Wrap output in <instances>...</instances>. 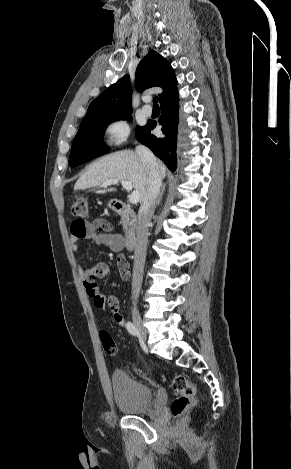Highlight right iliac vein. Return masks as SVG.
Here are the masks:
<instances>
[{
  "instance_id": "obj_1",
  "label": "right iliac vein",
  "mask_w": 291,
  "mask_h": 469,
  "mask_svg": "<svg viewBox=\"0 0 291 469\" xmlns=\"http://www.w3.org/2000/svg\"><path fill=\"white\" fill-rule=\"evenodd\" d=\"M132 320H133V323H134L135 327L137 328V331H138L140 337L142 338V340L146 341L147 332H146L145 328L142 325L141 317H140L139 312L136 308L132 309Z\"/></svg>"
}]
</instances>
